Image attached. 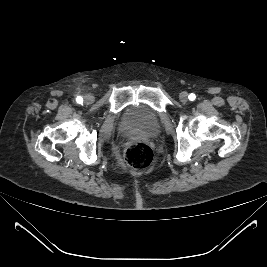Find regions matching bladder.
I'll list each match as a JSON object with an SVG mask.
<instances>
[{
	"label": "bladder",
	"instance_id": "obj_1",
	"mask_svg": "<svg viewBox=\"0 0 267 267\" xmlns=\"http://www.w3.org/2000/svg\"><path fill=\"white\" fill-rule=\"evenodd\" d=\"M159 127L157 112L143 104L129 106L121 120V129L124 132H138L151 136L158 132Z\"/></svg>",
	"mask_w": 267,
	"mask_h": 267
}]
</instances>
